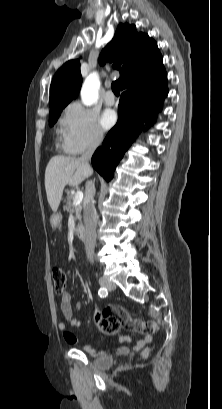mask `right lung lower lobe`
Listing matches in <instances>:
<instances>
[{"label": "right lung lower lobe", "instance_id": "right-lung-lower-lobe-1", "mask_svg": "<svg viewBox=\"0 0 222 409\" xmlns=\"http://www.w3.org/2000/svg\"><path fill=\"white\" fill-rule=\"evenodd\" d=\"M122 90L117 124L92 156L93 167L107 181L113 178L117 164L143 129L141 120H150L149 126L156 120V114L162 109L163 99L168 94L167 73L163 68L138 77Z\"/></svg>", "mask_w": 222, "mask_h": 409}]
</instances>
